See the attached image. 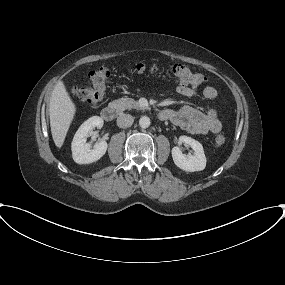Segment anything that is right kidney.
Segmentation results:
<instances>
[{
    "instance_id": "obj_1",
    "label": "right kidney",
    "mask_w": 285,
    "mask_h": 285,
    "mask_svg": "<svg viewBox=\"0 0 285 285\" xmlns=\"http://www.w3.org/2000/svg\"><path fill=\"white\" fill-rule=\"evenodd\" d=\"M103 123L102 118L93 116L86 120L77 130L71 145L72 157L77 164L96 162L106 153L108 145L105 140H101L93 149H91V144L86 142L93 129L96 127L101 128Z\"/></svg>"
}]
</instances>
